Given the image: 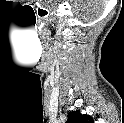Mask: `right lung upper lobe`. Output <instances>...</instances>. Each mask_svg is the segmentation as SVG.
Listing matches in <instances>:
<instances>
[{
    "instance_id": "cb5924a9",
    "label": "right lung upper lobe",
    "mask_w": 124,
    "mask_h": 123,
    "mask_svg": "<svg viewBox=\"0 0 124 123\" xmlns=\"http://www.w3.org/2000/svg\"><path fill=\"white\" fill-rule=\"evenodd\" d=\"M91 116L81 114L79 111H72L68 114L67 123H92Z\"/></svg>"
}]
</instances>
